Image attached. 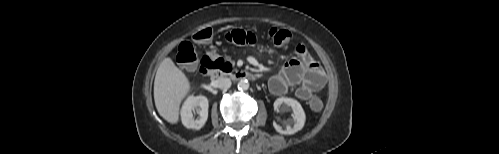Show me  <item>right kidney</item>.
I'll use <instances>...</instances> for the list:
<instances>
[{
	"label": "right kidney",
	"mask_w": 499,
	"mask_h": 154,
	"mask_svg": "<svg viewBox=\"0 0 499 154\" xmlns=\"http://www.w3.org/2000/svg\"><path fill=\"white\" fill-rule=\"evenodd\" d=\"M208 106V99L205 96L188 97L181 109L183 125L191 129H201L208 118ZM195 110L199 114V117L196 119L193 116Z\"/></svg>",
	"instance_id": "right-kidney-1"
}]
</instances>
